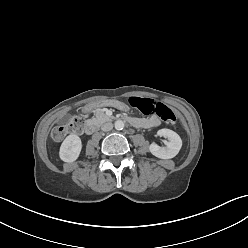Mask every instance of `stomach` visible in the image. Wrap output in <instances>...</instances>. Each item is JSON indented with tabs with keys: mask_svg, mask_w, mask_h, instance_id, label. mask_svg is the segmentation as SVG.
<instances>
[{
	"mask_svg": "<svg viewBox=\"0 0 248 248\" xmlns=\"http://www.w3.org/2000/svg\"><path fill=\"white\" fill-rule=\"evenodd\" d=\"M116 107L122 114H128L129 108L117 99H105L104 101H99L95 103L96 109Z\"/></svg>",
	"mask_w": 248,
	"mask_h": 248,
	"instance_id": "0dacf381",
	"label": "stomach"
}]
</instances>
